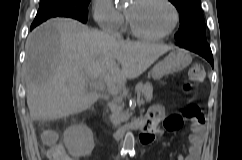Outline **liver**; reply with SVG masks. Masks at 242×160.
Instances as JSON below:
<instances>
[{"mask_svg": "<svg viewBox=\"0 0 242 160\" xmlns=\"http://www.w3.org/2000/svg\"><path fill=\"white\" fill-rule=\"evenodd\" d=\"M174 46L122 41L68 18L35 28L26 41L24 77L32 120H56L81 113L97 100L89 78H102L118 91L143 74Z\"/></svg>", "mask_w": 242, "mask_h": 160, "instance_id": "1", "label": "liver"}]
</instances>
